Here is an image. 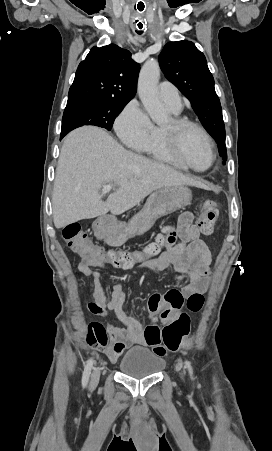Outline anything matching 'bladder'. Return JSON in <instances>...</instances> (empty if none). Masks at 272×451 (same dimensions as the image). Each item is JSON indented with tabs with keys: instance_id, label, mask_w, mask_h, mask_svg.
I'll use <instances>...</instances> for the list:
<instances>
[{
	"instance_id": "31cf9c89",
	"label": "bladder",
	"mask_w": 272,
	"mask_h": 451,
	"mask_svg": "<svg viewBox=\"0 0 272 451\" xmlns=\"http://www.w3.org/2000/svg\"><path fill=\"white\" fill-rule=\"evenodd\" d=\"M164 367L162 355L143 346H133L119 361L120 373L127 376L156 375Z\"/></svg>"
}]
</instances>
